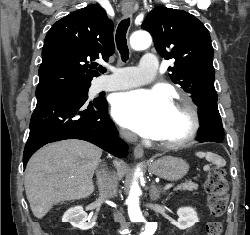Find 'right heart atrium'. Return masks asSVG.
Segmentation results:
<instances>
[{"instance_id":"d8ad5b80","label":"right heart atrium","mask_w":250,"mask_h":235,"mask_svg":"<svg viewBox=\"0 0 250 235\" xmlns=\"http://www.w3.org/2000/svg\"><path fill=\"white\" fill-rule=\"evenodd\" d=\"M120 134L123 138H126V139L130 138V134L124 130H121Z\"/></svg>"}]
</instances>
